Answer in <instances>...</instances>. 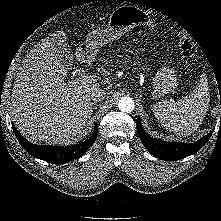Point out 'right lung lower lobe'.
<instances>
[{
  "label": "right lung lower lobe",
  "instance_id": "obj_1",
  "mask_svg": "<svg viewBox=\"0 0 221 221\" xmlns=\"http://www.w3.org/2000/svg\"><path fill=\"white\" fill-rule=\"evenodd\" d=\"M12 127L19 143L29 154L52 164L67 163L80 157L92 146L97 137V125H95L92 136L80 144L65 147L37 145L24 139L14 124H12Z\"/></svg>",
  "mask_w": 221,
  "mask_h": 221
}]
</instances>
